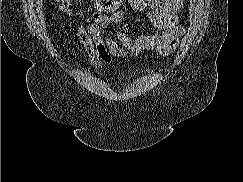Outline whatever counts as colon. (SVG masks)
I'll list each match as a JSON object with an SVG mask.
<instances>
[{"label": "colon", "mask_w": 243, "mask_h": 182, "mask_svg": "<svg viewBox=\"0 0 243 182\" xmlns=\"http://www.w3.org/2000/svg\"><path fill=\"white\" fill-rule=\"evenodd\" d=\"M62 11H69L70 0H56ZM121 0H94L93 9L99 13H111L118 10Z\"/></svg>", "instance_id": "1"}]
</instances>
